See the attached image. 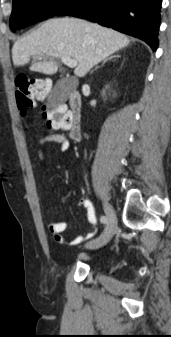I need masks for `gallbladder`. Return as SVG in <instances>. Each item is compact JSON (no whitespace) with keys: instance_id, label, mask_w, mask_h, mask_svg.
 <instances>
[{"instance_id":"gallbladder-1","label":"gallbladder","mask_w":171,"mask_h":337,"mask_svg":"<svg viewBox=\"0 0 171 337\" xmlns=\"http://www.w3.org/2000/svg\"><path fill=\"white\" fill-rule=\"evenodd\" d=\"M75 86L71 83V81L67 78L60 79L48 100V104L54 108L61 102L65 101L67 97L71 94V92L74 90Z\"/></svg>"}]
</instances>
